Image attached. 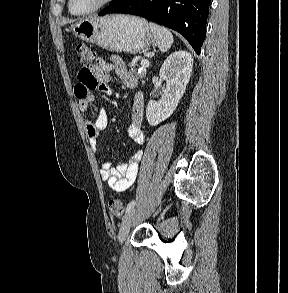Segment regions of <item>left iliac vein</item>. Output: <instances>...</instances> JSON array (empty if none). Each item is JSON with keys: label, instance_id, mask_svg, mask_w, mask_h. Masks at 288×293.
<instances>
[{"label": "left iliac vein", "instance_id": "obj_1", "mask_svg": "<svg viewBox=\"0 0 288 293\" xmlns=\"http://www.w3.org/2000/svg\"><path fill=\"white\" fill-rule=\"evenodd\" d=\"M136 213L137 210L135 208H132L124 217L122 224H121V228L118 234V240L120 243H123L124 240L126 239L130 228L132 226L133 221L136 218Z\"/></svg>", "mask_w": 288, "mask_h": 293}]
</instances>
